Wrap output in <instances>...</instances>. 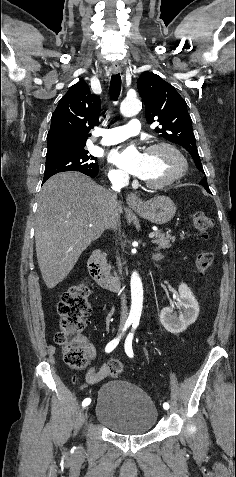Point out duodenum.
Listing matches in <instances>:
<instances>
[{"label":"duodenum","mask_w":236,"mask_h":477,"mask_svg":"<svg viewBox=\"0 0 236 477\" xmlns=\"http://www.w3.org/2000/svg\"><path fill=\"white\" fill-rule=\"evenodd\" d=\"M88 272L94 282L104 289L113 292H122L121 281L117 277L110 276L104 270L101 263V255L98 250H94L88 261Z\"/></svg>","instance_id":"duodenum-1"}]
</instances>
